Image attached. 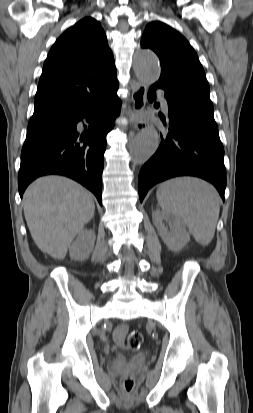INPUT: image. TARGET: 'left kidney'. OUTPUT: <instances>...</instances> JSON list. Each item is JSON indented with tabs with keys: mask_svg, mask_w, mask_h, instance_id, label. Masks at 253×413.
<instances>
[{
	"mask_svg": "<svg viewBox=\"0 0 253 413\" xmlns=\"http://www.w3.org/2000/svg\"><path fill=\"white\" fill-rule=\"evenodd\" d=\"M153 224L167 247L172 251H180L189 241L190 235L184 224L177 218L161 210L152 213ZM164 222L169 224L170 230Z\"/></svg>",
	"mask_w": 253,
	"mask_h": 413,
	"instance_id": "1",
	"label": "left kidney"
}]
</instances>
